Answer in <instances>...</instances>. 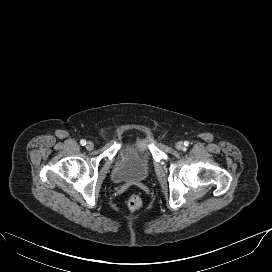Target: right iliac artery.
Instances as JSON below:
<instances>
[{
  "mask_svg": "<svg viewBox=\"0 0 272 272\" xmlns=\"http://www.w3.org/2000/svg\"><path fill=\"white\" fill-rule=\"evenodd\" d=\"M80 144H81L82 146H84V145H86V141H85L84 139H82V140L80 141Z\"/></svg>",
  "mask_w": 272,
  "mask_h": 272,
  "instance_id": "1",
  "label": "right iliac artery"
}]
</instances>
